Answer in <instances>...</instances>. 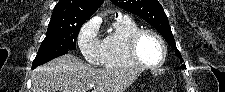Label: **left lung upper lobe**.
<instances>
[{
	"label": "left lung upper lobe",
	"instance_id": "1",
	"mask_svg": "<svg viewBox=\"0 0 225 92\" xmlns=\"http://www.w3.org/2000/svg\"><path fill=\"white\" fill-rule=\"evenodd\" d=\"M111 2L124 10L140 16L151 24L165 37L167 43L175 50L177 57L180 58V62H183L182 56L176 48L168 18L157 0H111ZM180 68L186 69V66L182 64Z\"/></svg>",
	"mask_w": 225,
	"mask_h": 92
}]
</instances>
